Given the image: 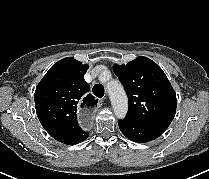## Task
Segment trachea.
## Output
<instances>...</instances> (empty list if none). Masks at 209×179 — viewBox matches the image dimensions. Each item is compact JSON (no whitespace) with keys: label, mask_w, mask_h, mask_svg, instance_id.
<instances>
[{"label":"trachea","mask_w":209,"mask_h":179,"mask_svg":"<svg viewBox=\"0 0 209 179\" xmlns=\"http://www.w3.org/2000/svg\"><path fill=\"white\" fill-rule=\"evenodd\" d=\"M92 91L98 98H102L104 96V87L101 84H95Z\"/></svg>","instance_id":"obj_1"}]
</instances>
